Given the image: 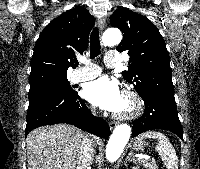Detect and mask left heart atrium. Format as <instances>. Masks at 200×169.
<instances>
[{
    "label": "left heart atrium",
    "instance_id": "obj_1",
    "mask_svg": "<svg viewBox=\"0 0 200 169\" xmlns=\"http://www.w3.org/2000/svg\"><path fill=\"white\" fill-rule=\"evenodd\" d=\"M84 96L93 105L117 113L124 95L117 81L101 77L86 86Z\"/></svg>",
    "mask_w": 200,
    "mask_h": 169
}]
</instances>
